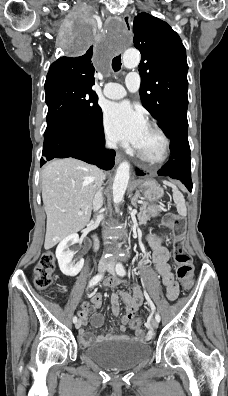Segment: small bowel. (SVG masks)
I'll return each mask as SVG.
<instances>
[{
	"label": "small bowel",
	"mask_w": 228,
	"mask_h": 396,
	"mask_svg": "<svg viewBox=\"0 0 228 396\" xmlns=\"http://www.w3.org/2000/svg\"><path fill=\"white\" fill-rule=\"evenodd\" d=\"M147 241L152 249V261L153 264L162 278V282L166 288V295L169 300H175L179 293V285L174 279L171 267L168 263L169 252L166 248L162 247L158 242L157 238L150 234L147 236ZM122 283L119 279H106L104 285L107 287H117ZM119 299L126 304V314L123 316L122 325L119 328L120 334H116L113 330L105 336H93L87 333L84 329H80L78 332L79 342L82 346L87 347L93 344L99 343L107 339H130L146 341L147 335L142 329H134V336L126 334L127 324L134 318L140 305L143 301L142 292L137 284L133 287V292L128 293L125 291H119L118 294H112L110 297L111 308L114 315L120 313ZM102 306V295L100 293H94L90 297V303L85 302L82 304L79 316L81 319V325H85L88 321L89 315L96 309ZM104 318L101 314H95L91 323L95 327H100L103 324Z\"/></svg>",
	"instance_id": "c3829d8e"
}]
</instances>
